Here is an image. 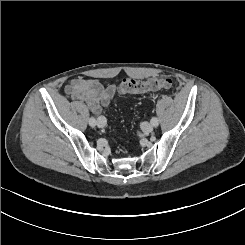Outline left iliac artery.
Instances as JSON below:
<instances>
[{"label": "left iliac artery", "mask_w": 245, "mask_h": 245, "mask_svg": "<svg viewBox=\"0 0 245 245\" xmlns=\"http://www.w3.org/2000/svg\"><path fill=\"white\" fill-rule=\"evenodd\" d=\"M151 124H152L154 127H156V126L159 124L158 119H157L156 117H153V118L151 119Z\"/></svg>", "instance_id": "44dca946"}]
</instances>
